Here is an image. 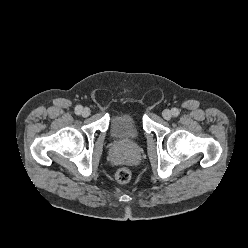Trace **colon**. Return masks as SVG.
I'll return each instance as SVG.
<instances>
[{
    "instance_id": "colon-1",
    "label": "colon",
    "mask_w": 248,
    "mask_h": 248,
    "mask_svg": "<svg viewBox=\"0 0 248 248\" xmlns=\"http://www.w3.org/2000/svg\"><path fill=\"white\" fill-rule=\"evenodd\" d=\"M132 173L128 168H120L117 170L115 174V178L117 182L125 184L128 183L131 180Z\"/></svg>"
}]
</instances>
